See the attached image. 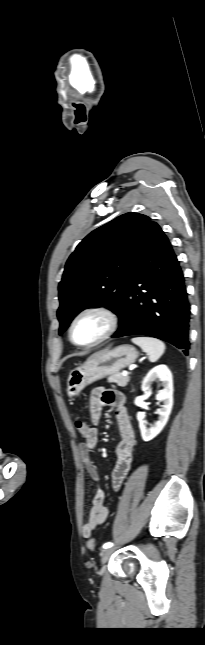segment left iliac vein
Instances as JSON below:
<instances>
[{"instance_id": "4c4485c4", "label": "left iliac vein", "mask_w": 205, "mask_h": 645, "mask_svg": "<svg viewBox=\"0 0 205 645\" xmlns=\"http://www.w3.org/2000/svg\"><path fill=\"white\" fill-rule=\"evenodd\" d=\"M112 553H113L112 548L105 549V550H103L101 552V554H100L101 555V568L99 570V574L103 573L104 564L107 562V560L109 559V557L111 556Z\"/></svg>"}]
</instances>
